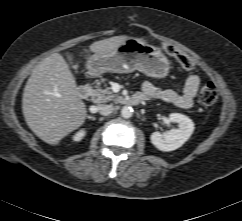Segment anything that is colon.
Masks as SVG:
<instances>
[{"label": "colon", "mask_w": 242, "mask_h": 221, "mask_svg": "<svg viewBox=\"0 0 242 221\" xmlns=\"http://www.w3.org/2000/svg\"><path fill=\"white\" fill-rule=\"evenodd\" d=\"M162 49L167 54L173 56L180 66L186 71H192L195 67L189 55L177 49L171 44H163ZM217 100V89L212 82L203 83L199 88V101L204 106H211Z\"/></svg>", "instance_id": "1"}]
</instances>
